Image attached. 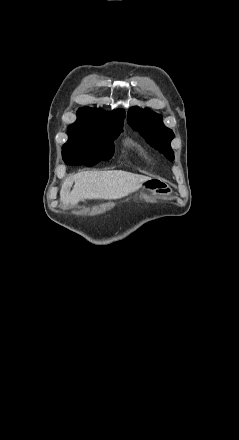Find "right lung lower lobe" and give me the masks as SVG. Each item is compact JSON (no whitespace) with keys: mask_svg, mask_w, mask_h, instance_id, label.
Here are the masks:
<instances>
[{"mask_svg":"<svg viewBox=\"0 0 239 440\" xmlns=\"http://www.w3.org/2000/svg\"><path fill=\"white\" fill-rule=\"evenodd\" d=\"M114 151L100 150L94 147H77L62 151L63 160L68 165L93 166L101 160H109Z\"/></svg>","mask_w":239,"mask_h":440,"instance_id":"right-lung-lower-lobe-1","label":"right lung lower lobe"}]
</instances>
